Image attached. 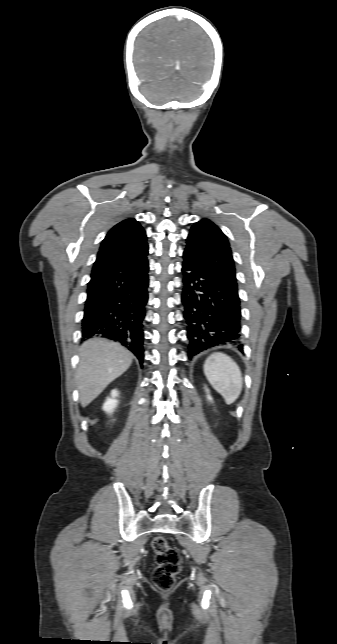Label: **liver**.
Segmentation results:
<instances>
[{"label":"liver","instance_id":"1","mask_svg":"<svg viewBox=\"0 0 337 644\" xmlns=\"http://www.w3.org/2000/svg\"><path fill=\"white\" fill-rule=\"evenodd\" d=\"M76 373L82 407L88 406L131 365L133 354L119 343L101 338L89 339L79 349Z\"/></svg>","mask_w":337,"mask_h":644}]
</instances>
